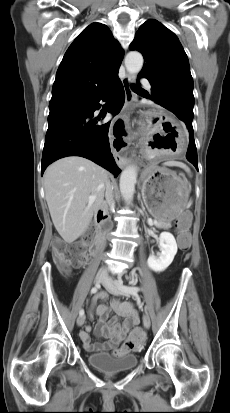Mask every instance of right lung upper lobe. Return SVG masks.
<instances>
[{"label": "right lung upper lobe", "mask_w": 230, "mask_h": 413, "mask_svg": "<svg viewBox=\"0 0 230 413\" xmlns=\"http://www.w3.org/2000/svg\"><path fill=\"white\" fill-rule=\"evenodd\" d=\"M124 52L109 28L92 23L66 51L56 73L49 107L89 101L118 78Z\"/></svg>", "instance_id": "1"}]
</instances>
